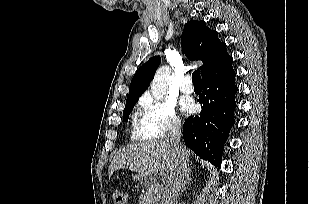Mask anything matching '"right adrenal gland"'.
<instances>
[{"label":"right adrenal gland","mask_w":309,"mask_h":204,"mask_svg":"<svg viewBox=\"0 0 309 204\" xmlns=\"http://www.w3.org/2000/svg\"><path fill=\"white\" fill-rule=\"evenodd\" d=\"M190 175H191V170L189 171V174H188V177H187V179H186L185 185H186V184H187V185L190 184V182L192 181Z\"/></svg>","instance_id":"1"}]
</instances>
